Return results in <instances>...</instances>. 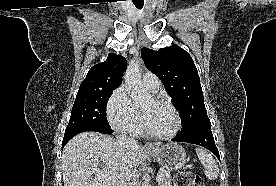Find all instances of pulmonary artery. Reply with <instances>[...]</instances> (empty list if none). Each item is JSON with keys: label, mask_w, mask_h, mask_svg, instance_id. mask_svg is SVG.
I'll return each instance as SVG.
<instances>
[{"label": "pulmonary artery", "mask_w": 276, "mask_h": 186, "mask_svg": "<svg viewBox=\"0 0 276 186\" xmlns=\"http://www.w3.org/2000/svg\"><path fill=\"white\" fill-rule=\"evenodd\" d=\"M142 83L148 90L153 92L157 91L160 86L158 77L151 72H145L143 74Z\"/></svg>", "instance_id": "obj_1"}]
</instances>
